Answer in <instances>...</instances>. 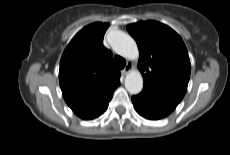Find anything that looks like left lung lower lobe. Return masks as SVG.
I'll return each instance as SVG.
<instances>
[{
  "label": "left lung lower lobe",
  "mask_w": 230,
  "mask_h": 155,
  "mask_svg": "<svg viewBox=\"0 0 230 155\" xmlns=\"http://www.w3.org/2000/svg\"><path fill=\"white\" fill-rule=\"evenodd\" d=\"M136 111L146 119L158 120L168 116L177 105L151 93L142 91L132 97Z\"/></svg>",
  "instance_id": "0a47b994"
}]
</instances>
